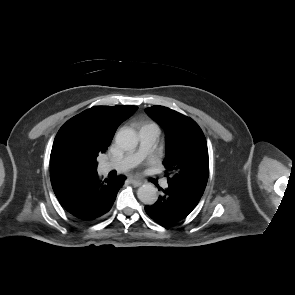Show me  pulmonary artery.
<instances>
[{
	"instance_id": "1",
	"label": "pulmonary artery",
	"mask_w": 295,
	"mask_h": 295,
	"mask_svg": "<svg viewBox=\"0 0 295 295\" xmlns=\"http://www.w3.org/2000/svg\"><path fill=\"white\" fill-rule=\"evenodd\" d=\"M158 139V133L150 128L143 126L139 130L140 145L137 151L126 154L124 157L115 160H109L102 164L101 168L104 172L111 170L126 171L137 165L140 160L145 157L155 146ZM167 188V182L162 184Z\"/></svg>"
}]
</instances>
